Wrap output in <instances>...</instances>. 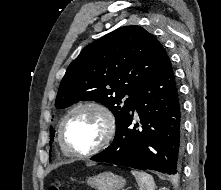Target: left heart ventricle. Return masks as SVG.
Returning a JSON list of instances; mask_svg holds the SVG:
<instances>
[{"label":"left heart ventricle","mask_w":221,"mask_h":190,"mask_svg":"<svg viewBox=\"0 0 221 190\" xmlns=\"http://www.w3.org/2000/svg\"><path fill=\"white\" fill-rule=\"evenodd\" d=\"M103 131L104 121L100 113L92 109H83L68 118L63 137L69 147L84 151L100 141Z\"/></svg>","instance_id":"1"}]
</instances>
